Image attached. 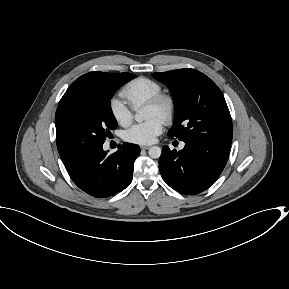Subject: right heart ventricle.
Here are the masks:
<instances>
[{
  "instance_id": "e07e8e85",
  "label": "right heart ventricle",
  "mask_w": 289,
  "mask_h": 289,
  "mask_svg": "<svg viewBox=\"0 0 289 289\" xmlns=\"http://www.w3.org/2000/svg\"><path fill=\"white\" fill-rule=\"evenodd\" d=\"M161 91L162 87L157 81L139 77L126 84L121 95L133 109H138Z\"/></svg>"
}]
</instances>
